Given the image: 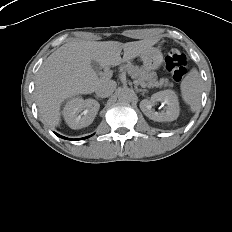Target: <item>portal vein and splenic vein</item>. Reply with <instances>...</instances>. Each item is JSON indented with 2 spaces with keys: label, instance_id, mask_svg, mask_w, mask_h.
I'll return each mask as SVG.
<instances>
[{
  "label": "portal vein and splenic vein",
  "instance_id": "portal-vein-and-splenic-vein-1",
  "mask_svg": "<svg viewBox=\"0 0 232 232\" xmlns=\"http://www.w3.org/2000/svg\"><path fill=\"white\" fill-rule=\"evenodd\" d=\"M104 74H105V73H104ZM108 74H109V73H108ZM141 85H142V86H146V84H145V83H142Z\"/></svg>",
  "mask_w": 232,
  "mask_h": 232
}]
</instances>
